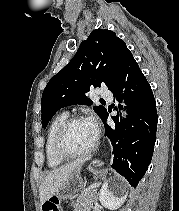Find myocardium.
Here are the masks:
<instances>
[{
	"mask_svg": "<svg viewBox=\"0 0 179 211\" xmlns=\"http://www.w3.org/2000/svg\"><path fill=\"white\" fill-rule=\"evenodd\" d=\"M81 121H86V118H84L83 116H72L67 118L60 126L54 142L55 152L60 158L64 160L82 158L92 154L97 149L99 144L98 136L96 137L92 146L83 152L73 153L66 149L65 142L69 130L75 123Z\"/></svg>",
	"mask_w": 179,
	"mask_h": 211,
	"instance_id": "myocardium-1",
	"label": "myocardium"
}]
</instances>
